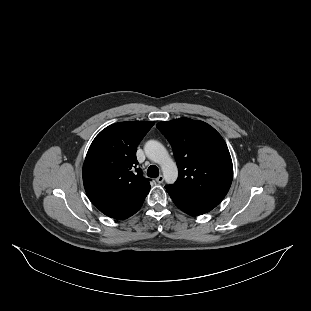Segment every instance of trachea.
<instances>
[{
	"mask_svg": "<svg viewBox=\"0 0 311 311\" xmlns=\"http://www.w3.org/2000/svg\"><path fill=\"white\" fill-rule=\"evenodd\" d=\"M147 176L150 178H157L159 176V169L155 165L149 166L147 170Z\"/></svg>",
	"mask_w": 311,
	"mask_h": 311,
	"instance_id": "obj_1",
	"label": "trachea"
}]
</instances>
